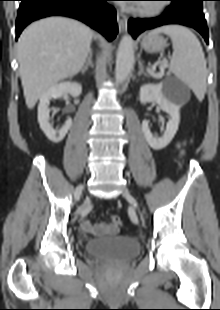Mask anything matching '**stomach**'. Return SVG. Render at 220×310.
Returning a JSON list of instances; mask_svg holds the SVG:
<instances>
[{
  "label": "stomach",
  "instance_id": "1",
  "mask_svg": "<svg viewBox=\"0 0 220 310\" xmlns=\"http://www.w3.org/2000/svg\"><path fill=\"white\" fill-rule=\"evenodd\" d=\"M141 46L148 53L161 52L167 46V39L158 34L147 35L143 38Z\"/></svg>",
  "mask_w": 220,
  "mask_h": 310
}]
</instances>
